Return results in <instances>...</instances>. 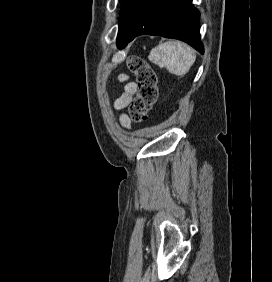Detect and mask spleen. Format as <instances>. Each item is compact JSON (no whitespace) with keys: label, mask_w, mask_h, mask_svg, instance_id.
Masks as SVG:
<instances>
[{"label":"spleen","mask_w":272,"mask_h":282,"mask_svg":"<svg viewBox=\"0 0 272 282\" xmlns=\"http://www.w3.org/2000/svg\"><path fill=\"white\" fill-rule=\"evenodd\" d=\"M149 60L177 76L185 75L195 60L194 50L179 41H168L151 50Z\"/></svg>","instance_id":"1"}]
</instances>
